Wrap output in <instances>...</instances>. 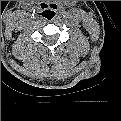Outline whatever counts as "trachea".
<instances>
[{"instance_id": "obj_1", "label": "trachea", "mask_w": 121, "mask_h": 121, "mask_svg": "<svg viewBox=\"0 0 121 121\" xmlns=\"http://www.w3.org/2000/svg\"><path fill=\"white\" fill-rule=\"evenodd\" d=\"M55 15L56 13L53 10L44 11V14H43V16L48 20H52L55 17Z\"/></svg>"}]
</instances>
